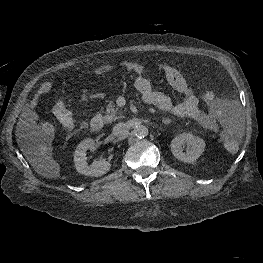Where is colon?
Masks as SVG:
<instances>
[{"label": "colon", "mask_w": 263, "mask_h": 263, "mask_svg": "<svg viewBox=\"0 0 263 263\" xmlns=\"http://www.w3.org/2000/svg\"><path fill=\"white\" fill-rule=\"evenodd\" d=\"M121 65L133 72L145 74L150 72V69L135 61H123ZM204 101L210 108V110L215 113L219 114L221 112L220 105L216 102L213 95L210 93H207L204 96ZM54 113L60 122V124L67 130H73L75 127V121L73 119L72 113L70 110H68L64 105L59 106L58 104L54 107ZM221 140L225 147V149L229 152H235L238 150L239 142H240V133L237 129L233 127H226L221 134Z\"/></svg>", "instance_id": "1"}]
</instances>
